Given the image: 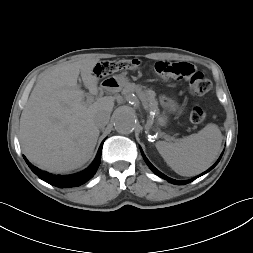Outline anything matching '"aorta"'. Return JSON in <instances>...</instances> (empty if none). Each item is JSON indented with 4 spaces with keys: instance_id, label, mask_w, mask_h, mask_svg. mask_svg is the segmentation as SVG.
I'll return each mask as SVG.
<instances>
[{
    "instance_id": "1",
    "label": "aorta",
    "mask_w": 253,
    "mask_h": 253,
    "mask_svg": "<svg viewBox=\"0 0 253 253\" xmlns=\"http://www.w3.org/2000/svg\"><path fill=\"white\" fill-rule=\"evenodd\" d=\"M136 125V116L129 109H120L115 114V129L122 134H129L134 130Z\"/></svg>"
}]
</instances>
